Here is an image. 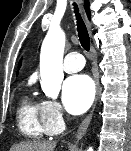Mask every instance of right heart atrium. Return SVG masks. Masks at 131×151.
I'll return each mask as SVG.
<instances>
[{
  "label": "right heart atrium",
  "mask_w": 131,
  "mask_h": 151,
  "mask_svg": "<svg viewBox=\"0 0 131 151\" xmlns=\"http://www.w3.org/2000/svg\"><path fill=\"white\" fill-rule=\"evenodd\" d=\"M43 105V119L50 134H57L64 128V119L59 103L45 100Z\"/></svg>",
  "instance_id": "1"
}]
</instances>
